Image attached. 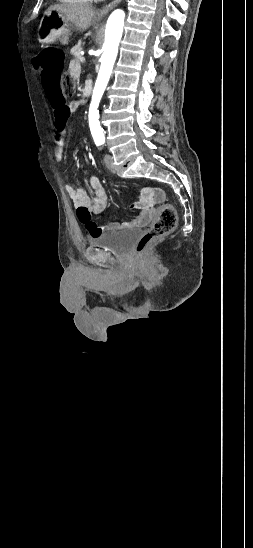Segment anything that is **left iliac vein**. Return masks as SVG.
I'll list each match as a JSON object with an SVG mask.
<instances>
[{
  "label": "left iliac vein",
  "mask_w": 253,
  "mask_h": 548,
  "mask_svg": "<svg viewBox=\"0 0 253 548\" xmlns=\"http://www.w3.org/2000/svg\"><path fill=\"white\" fill-rule=\"evenodd\" d=\"M104 162H105L106 167H107L110 171H115V167H114V165H113V157H112V155L106 154V155H105V158H104Z\"/></svg>",
  "instance_id": "4c4485c4"
}]
</instances>
